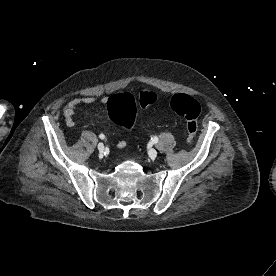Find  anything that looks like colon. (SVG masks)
Masks as SVG:
<instances>
[{
    "instance_id": "colon-1",
    "label": "colon",
    "mask_w": 276,
    "mask_h": 276,
    "mask_svg": "<svg viewBox=\"0 0 276 276\" xmlns=\"http://www.w3.org/2000/svg\"><path fill=\"white\" fill-rule=\"evenodd\" d=\"M156 101L154 91L145 89L140 91L138 99L131 93H119L109 98L107 110L113 122L125 128L131 129L134 125L137 104L146 108ZM171 109L187 122L188 145H193L194 137L198 128V117L201 112L200 103L193 97L178 93L171 99Z\"/></svg>"
}]
</instances>
